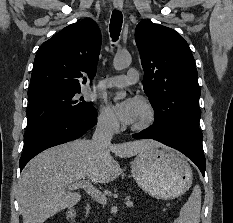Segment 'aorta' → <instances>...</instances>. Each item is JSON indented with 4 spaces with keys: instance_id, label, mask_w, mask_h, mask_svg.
Returning <instances> with one entry per match:
<instances>
[{
    "instance_id": "1",
    "label": "aorta",
    "mask_w": 233,
    "mask_h": 223,
    "mask_svg": "<svg viewBox=\"0 0 233 223\" xmlns=\"http://www.w3.org/2000/svg\"><path fill=\"white\" fill-rule=\"evenodd\" d=\"M131 60V56H123V58H117V56H115L113 66L115 70H125V68L130 66ZM123 98H126V92H118L114 98V102H117V100H123Z\"/></svg>"
}]
</instances>
